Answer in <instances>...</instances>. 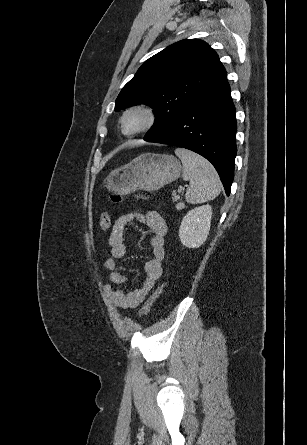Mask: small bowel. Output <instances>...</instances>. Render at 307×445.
<instances>
[{
	"label": "small bowel",
	"mask_w": 307,
	"mask_h": 445,
	"mask_svg": "<svg viewBox=\"0 0 307 445\" xmlns=\"http://www.w3.org/2000/svg\"><path fill=\"white\" fill-rule=\"evenodd\" d=\"M132 222H141L152 231L153 234L149 241L152 258L145 264L147 276L143 284L139 288L125 291L124 289L114 288L113 285H123L127 280L126 276L118 268V261L127 253L125 230ZM166 231V223L156 211L135 210L117 218L108 237L111 257L105 259L103 263L104 269L110 274L112 283L104 286V293L114 307L123 309L137 307L153 289L156 281L160 279L163 273L162 262L165 258Z\"/></svg>",
	"instance_id": "obj_1"
}]
</instances>
